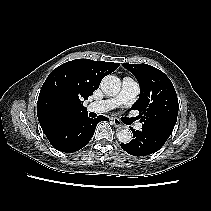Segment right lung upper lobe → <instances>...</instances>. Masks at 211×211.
Segmentation results:
<instances>
[{"label":"right lung upper lobe","instance_id":"right-lung-upper-lobe-1","mask_svg":"<svg viewBox=\"0 0 211 211\" xmlns=\"http://www.w3.org/2000/svg\"><path fill=\"white\" fill-rule=\"evenodd\" d=\"M119 66L113 62L76 59L55 68L45 80L37 102V116L43 132L64 118L87 114L83 100Z\"/></svg>","mask_w":211,"mask_h":211}]
</instances>
